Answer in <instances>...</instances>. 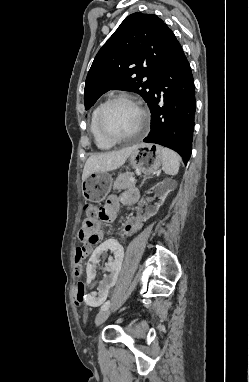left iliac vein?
I'll list each match as a JSON object with an SVG mask.
<instances>
[{"instance_id": "left-iliac-vein-1", "label": "left iliac vein", "mask_w": 249, "mask_h": 382, "mask_svg": "<svg viewBox=\"0 0 249 382\" xmlns=\"http://www.w3.org/2000/svg\"><path fill=\"white\" fill-rule=\"evenodd\" d=\"M111 311L109 309L101 310L96 316V324L99 325L103 323L110 315Z\"/></svg>"}]
</instances>
